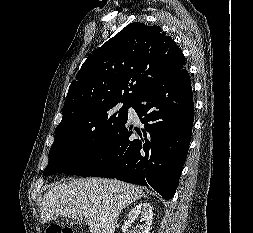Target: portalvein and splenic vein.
I'll use <instances>...</instances> for the list:
<instances>
[{
  "label": "portal vein and splenic vein",
  "instance_id": "obj_1",
  "mask_svg": "<svg viewBox=\"0 0 253 233\" xmlns=\"http://www.w3.org/2000/svg\"><path fill=\"white\" fill-rule=\"evenodd\" d=\"M89 214H94V211L93 210H89Z\"/></svg>",
  "mask_w": 253,
  "mask_h": 233
}]
</instances>
